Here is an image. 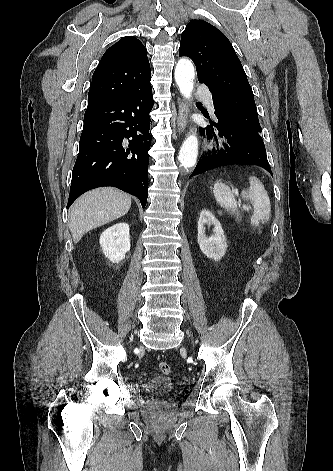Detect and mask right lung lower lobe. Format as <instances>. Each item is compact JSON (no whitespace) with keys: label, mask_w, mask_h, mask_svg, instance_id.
Here are the masks:
<instances>
[{"label":"right lung lower lobe","mask_w":333,"mask_h":471,"mask_svg":"<svg viewBox=\"0 0 333 471\" xmlns=\"http://www.w3.org/2000/svg\"><path fill=\"white\" fill-rule=\"evenodd\" d=\"M150 79L121 97L87 108L67 208L84 192L102 186L128 192L145 207L153 107Z\"/></svg>","instance_id":"right-lung-lower-lobe-1"}]
</instances>
